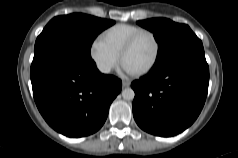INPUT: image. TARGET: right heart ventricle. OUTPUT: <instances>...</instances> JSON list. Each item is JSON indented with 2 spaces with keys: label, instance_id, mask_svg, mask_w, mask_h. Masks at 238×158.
Returning a JSON list of instances; mask_svg holds the SVG:
<instances>
[{
  "label": "right heart ventricle",
  "instance_id": "obj_1",
  "mask_svg": "<svg viewBox=\"0 0 238 158\" xmlns=\"http://www.w3.org/2000/svg\"><path fill=\"white\" fill-rule=\"evenodd\" d=\"M143 28L131 24H117L106 29L101 39L117 54H120L127 41Z\"/></svg>",
  "mask_w": 238,
  "mask_h": 158
}]
</instances>
